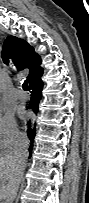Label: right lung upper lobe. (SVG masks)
<instances>
[{"label":"right lung upper lobe","instance_id":"obj_1","mask_svg":"<svg viewBox=\"0 0 89 203\" xmlns=\"http://www.w3.org/2000/svg\"><path fill=\"white\" fill-rule=\"evenodd\" d=\"M11 57L17 69L22 70L28 68L30 70L27 81L30 82L38 76L43 68L41 65L40 56L35 53L34 48L25 40L15 36H8L5 40L2 58L4 63H8V58Z\"/></svg>","mask_w":89,"mask_h":203}]
</instances>
